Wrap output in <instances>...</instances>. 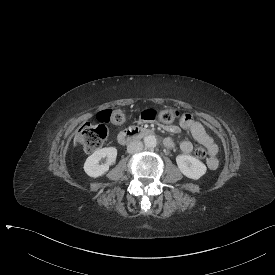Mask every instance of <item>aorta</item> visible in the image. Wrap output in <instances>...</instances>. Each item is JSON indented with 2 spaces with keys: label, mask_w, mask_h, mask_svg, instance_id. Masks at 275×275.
<instances>
[{
  "label": "aorta",
  "mask_w": 275,
  "mask_h": 275,
  "mask_svg": "<svg viewBox=\"0 0 275 275\" xmlns=\"http://www.w3.org/2000/svg\"><path fill=\"white\" fill-rule=\"evenodd\" d=\"M144 144L146 147L152 148L157 145V139L154 135H148L144 137Z\"/></svg>",
  "instance_id": "762f6f07"
}]
</instances>
